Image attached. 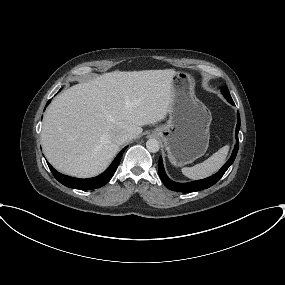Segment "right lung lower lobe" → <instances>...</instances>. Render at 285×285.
<instances>
[{
	"label": "right lung lower lobe",
	"instance_id": "1",
	"mask_svg": "<svg viewBox=\"0 0 285 285\" xmlns=\"http://www.w3.org/2000/svg\"><path fill=\"white\" fill-rule=\"evenodd\" d=\"M49 103H50V100L48 101L46 106ZM126 148L127 147L121 150V152L117 155V157L114 159L112 164L109 166V168L105 172H103L101 175L94 177V178L78 179V178L69 177V176H66V175H63L57 172L49 163H48V166L51 172L53 173L54 177L66 187L80 189V190L96 189V188L104 186L112 178V176L114 175L120 163L123 152L125 151Z\"/></svg>",
	"mask_w": 285,
	"mask_h": 285
}]
</instances>
